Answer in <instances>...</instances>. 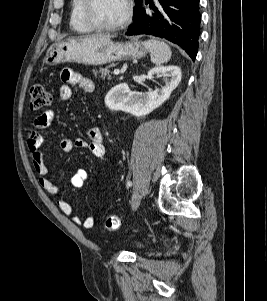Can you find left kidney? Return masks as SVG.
Masks as SVG:
<instances>
[{"label": "left kidney", "mask_w": 267, "mask_h": 301, "mask_svg": "<svg viewBox=\"0 0 267 301\" xmlns=\"http://www.w3.org/2000/svg\"><path fill=\"white\" fill-rule=\"evenodd\" d=\"M162 76L164 86L152 92L143 94L136 99L126 83H121L113 87L105 97V104L110 110H121L132 112L137 108L144 111H153L161 106L171 93L179 85L182 77L181 69L175 65L165 67H155L148 72V77L153 79L155 76Z\"/></svg>", "instance_id": "1"}]
</instances>
